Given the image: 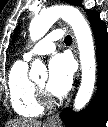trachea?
Returning a JSON list of instances; mask_svg holds the SVG:
<instances>
[{
	"instance_id": "3493384b",
	"label": "trachea",
	"mask_w": 108,
	"mask_h": 127,
	"mask_svg": "<svg viewBox=\"0 0 108 127\" xmlns=\"http://www.w3.org/2000/svg\"><path fill=\"white\" fill-rule=\"evenodd\" d=\"M64 42H65L66 44H71V43H72V38H71V36H70V35H67V36L65 37V39H64Z\"/></svg>"
}]
</instances>
